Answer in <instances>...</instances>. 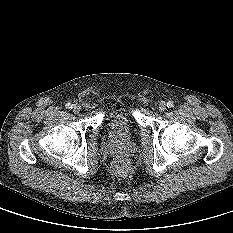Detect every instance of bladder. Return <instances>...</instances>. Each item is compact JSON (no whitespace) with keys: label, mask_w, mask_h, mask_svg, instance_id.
Wrapping results in <instances>:
<instances>
[{"label":"bladder","mask_w":233,"mask_h":233,"mask_svg":"<svg viewBox=\"0 0 233 233\" xmlns=\"http://www.w3.org/2000/svg\"><path fill=\"white\" fill-rule=\"evenodd\" d=\"M108 135L118 141L128 140L133 131V119L129 112L119 109L110 114L106 121Z\"/></svg>","instance_id":"1"}]
</instances>
